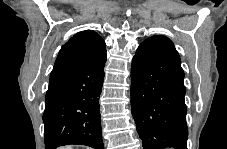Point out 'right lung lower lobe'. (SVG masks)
Instances as JSON below:
<instances>
[{"instance_id":"98d812e1","label":"right lung lower lobe","mask_w":227,"mask_h":149,"mask_svg":"<svg viewBox=\"0 0 227 149\" xmlns=\"http://www.w3.org/2000/svg\"><path fill=\"white\" fill-rule=\"evenodd\" d=\"M105 62L50 80L43 113L46 149L68 144L104 148L99 97Z\"/></svg>"}]
</instances>
